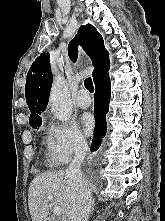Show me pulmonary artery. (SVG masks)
Returning <instances> with one entry per match:
<instances>
[{"label": "pulmonary artery", "mask_w": 165, "mask_h": 221, "mask_svg": "<svg viewBox=\"0 0 165 221\" xmlns=\"http://www.w3.org/2000/svg\"><path fill=\"white\" fill-rule=\"evenodd\" d=\"M75 104L82 109H86L91 105V98L85 89H81L77 93Z\"/></svg>", "instance_id": "e3ab8cb5"}]
</instances>
